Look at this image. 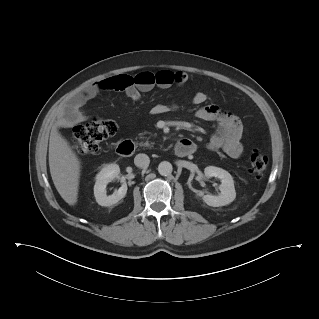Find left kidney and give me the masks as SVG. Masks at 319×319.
Instances as JSON below:
<instances>
[{
    "label": "left kidney",
    "instance_id": "1",
    "mask_svg": "<svg viewBox=\"0 0 319 319\" xmlns=\"http://www.w3.org/2000/svg\"><path fill=\"white\" fill-rule=\"evenodd\" d=\"M204 173L207 177H216L221 180V185L219 186L220 194L218 196L198 194V196H202L203 201L207 205L219 207L228 205L234 201L236 192L233 178L229 172L219 167L208 166L204 169Z\"/></svg>",
    "mask_w": 319,
    "mask_h": 319
}]
</instances>
